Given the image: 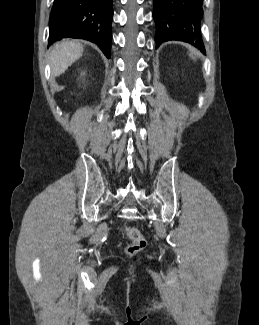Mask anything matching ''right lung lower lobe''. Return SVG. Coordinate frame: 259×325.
Instances as JSON below:
<instances>
[{
  "label": "right lung lower lobe",
  "instance_id": "98d812e1",
  "mask_svg": "<svg viewBox=\"0 0 259 325\" xmlns=\"http://www.w3.org/2000/svg\"><path fill=\"white\" fill-rule=\"evenodd\" d=\"M112 0H55L50 13L49 45L62 38L96 43L110 58Z\"/></svg>",
  "mask_w": 259,
  "mask_h": 325
}]
</instances>
